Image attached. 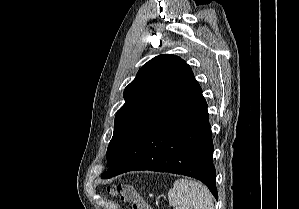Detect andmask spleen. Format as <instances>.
<instances>
[{
    "label": "spleen",
    "instance_id": "spleen-1",
    "mask_svg": "<svg viewBox=\"0 0 299 209\" xmlns=\"http://www.w3.org/2000/svg\"><path fill=\"white\" fill-rule=\"evenodd\" d=\"M168 200L175 209H214L209 189L189 179L176 180L168 192Z\"/></svg>",
    "mask_w": 299,
    "mask_h": 209
}]
</instances>
